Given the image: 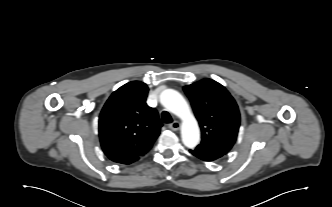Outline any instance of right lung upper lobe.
<instances>
[{"label":"right lung upper lobe","mask_w":332,"mask_h":207,"mask_svg":"<svg viewBox=\"0 0 332 207\" xmlns=\"http://www.w3.org/2000/svg\"><path fill=\"white\" fill-rule=\"evenodd\" d=\"M148 90L143 82H129L112 93L100 113L101 146L116 163L139 160L160 134L158 113L146 104Z\"/></svg>","instance_id":"cb5924a9"}]
</instances>
